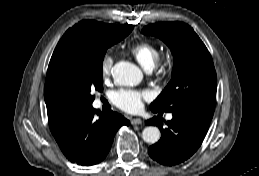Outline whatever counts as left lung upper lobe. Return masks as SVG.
<instances>
[{
    "instance_id": "obj_1",
    "label": "left lung upper lobe",
    "mask_w": 259,
    "mask_h": 176,
    "mask_svg": "<svg viewBox=\"0 0 259 176\" xmlns=\"http://www.w3.org/2000/svg\"><path fill=\"white\" fill-rule=\"evenodd\" d=\"M143 34L163 40L174 56L172 79L152 102L153 112L191 111L212 118L217 76L204 43L187 24L165 22L147 25Z\"/></svg>"
}]
</instances>
